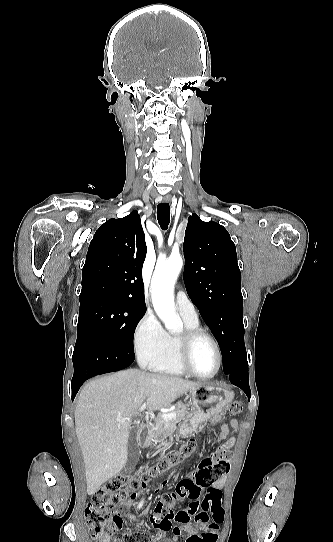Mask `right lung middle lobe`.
Returning <instances> with one entry per match:
<instances>
[{"instance_id":"right-lung-middle-lobe-1","label":"right lung middle lobe","mask_w":333,"mask_h":542,"mask_svg":"<svg viewBox=\"0 0 333 542\" xmlns=\"http://www.w3.org/2000/svg\"><path fill=\"white\" fill-rule=\"evenodd\" d=\"M145 312L146 308L142 307L93 300L80 305L77 334L84 329L96 330L118 349L134 357V332Z\"/></svg>"}]
</instances>
